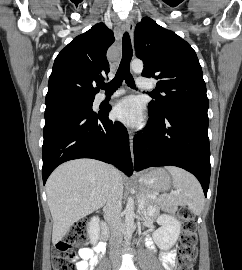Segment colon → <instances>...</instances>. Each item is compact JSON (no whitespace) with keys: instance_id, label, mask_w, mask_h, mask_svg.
Wrapping results in <instances>:
<instances>
[{"instance_id":"colon-1","label":"colon","mask_w":242,"mask_h":270,"mask_svg":"<svg viewBox=\"0 0 242 270\" xmlns=\"http://www.w3.org/2000/svg\"><path fill=\"white\" fill-rule=\"evenodd\" d=\"M178 216L183 221L178 270H192L197 255V234L194 214L188 208H181ZM87 237L88 225L85 221L73 224L54 249V270H76V262L72 250L76 244L85 242Z\"/></svg>"}]
</instances>
